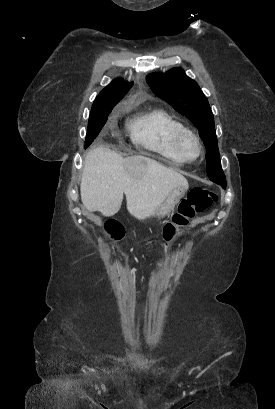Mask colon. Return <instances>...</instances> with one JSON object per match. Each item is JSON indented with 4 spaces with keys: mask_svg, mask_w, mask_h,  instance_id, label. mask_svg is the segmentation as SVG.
I'll return each instance as SVG.
<instances>
[{
    "mask_svg": "<svg viewBox=\"0 0 275 409\" xmlns=\"http://www.w3.org/2000/svg\"><path fill=\"white\" fill-rule=\"evenodd\" d=\"M217 200V196L210 190L193 188L184 197L172 219L168 221L162 232V240L165 245H169L187 227L190 220L198 213L202 216L210 215V206ZM105 232L113 241L123 238V226L117 222H109L105 227Z\"/></svg>",
    "mask_w": 275,
    "mask_h": 409,
    "instance_id": "1",
    "label": "colon"
}]
</instances>
